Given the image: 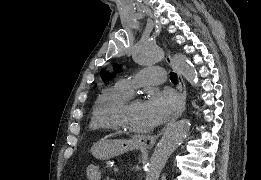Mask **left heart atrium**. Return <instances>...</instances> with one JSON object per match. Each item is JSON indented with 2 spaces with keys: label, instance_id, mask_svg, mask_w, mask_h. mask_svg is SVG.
Wrapping results in <instances>:
<instances>
[{
  "label": "left heart atrium",
  "instance_id": "1",
  "mask_svg": "<svg viewBox=\"0 0 261 180\" xmlns=\"http://www.w3.org/2000/svg\"><path fill=\"white\" fill-rule=\"evenodd\" d=\"M179 106V96L168 88L152 90L144 101V107L155 123L174 113Z\"/></svg>",
  "mask_w": 261,
  "mask_h": 180
}]
</instances>
